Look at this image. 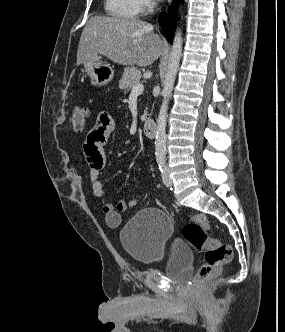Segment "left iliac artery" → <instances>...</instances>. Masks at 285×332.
I'll use <instances>...</instances> for the list:
<instances>
[{
	"instance_id": "left-iliac-artery-1",
	"label": "left iliac artery",
	"mask_w": 285,
	"mask_h": 332,
	"mask_svg": "<svg viewBox=\"0 0 285 332\" xmlns=\"http://www.w3.org/2000/svg\"><path fill=\"white\" fill-rule=\"evenodd\" d=\"M163 166H164V162H161L160 166H159V169H160L161 172H163Z\"/></svg>"
}]
</instances>
